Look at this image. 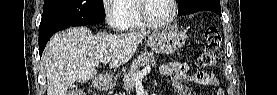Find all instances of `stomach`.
<instances>
[{"label":"stomach","mask_w":277,"mask_h":95,"mask_svg":"<svg viewBox=\"0 0 277 95\" xmlns=\"http://www.w3.org/2000/svg\"><path fill=\"white\" fill-rule=\"evenodd\" d=\"M184 42V33L175 28L156 31L149 36V46L157 53L172 54L178 51Z\"/></svg>","instance_id":"obj_1"}]
</instances>
